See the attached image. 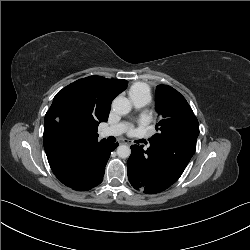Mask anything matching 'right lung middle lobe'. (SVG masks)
<instances>
[{"mask_svg":"<svg viewBox=\"0 0 250 250\" xmlns=\"http://www.w3.org/2000/svg\"><path fill=\"white\" fill-rule=\"evenodd\" d=\"M58 112L62 123L71 130H80L85 125L78 94L75 91H69L64 95Z\"/></svg>","mask_w":250,"mask_h":250,"instance_id":"1","label":"right lung middle lobe"}]
</instances>
